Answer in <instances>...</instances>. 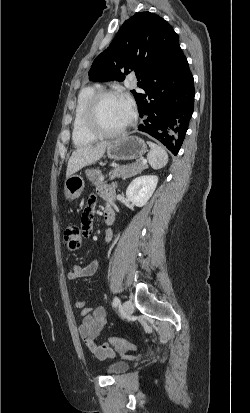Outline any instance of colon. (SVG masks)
Instances as JSON below:
<instances>
[{
    "label": "colon",
    "mask_w": 250,
    "mask_h": 413,
    "mask_svg": "<svg viewBox=\"0 0 250 413\" xmlns=\"http://www.w3.org/2000/svg\"><path fill=\"white\" fill-rule=\"evenodd\" d=\"M64 238L69 250L75 251L81 247L82 237L80 236V229L77 225H68L64 231ZM104 345L113 346L122 353L138 350L136 345L117 337L109 338Z\"/></svg>",
    "instance_id": "colon-1"
}]
</instances>
